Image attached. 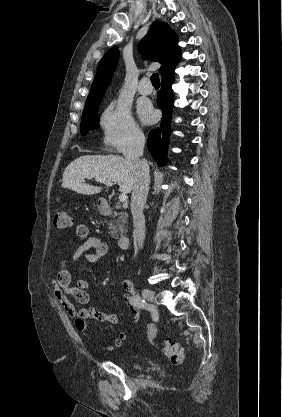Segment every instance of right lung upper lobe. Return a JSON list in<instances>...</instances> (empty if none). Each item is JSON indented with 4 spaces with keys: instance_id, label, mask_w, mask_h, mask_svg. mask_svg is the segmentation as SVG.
I'll use <instances>...</instances> for the list:
<instances>
[{
    "instance_id": "cb5924a9",
    "label": "right lung upper lobe",
    "mask_w": 282,
    "mask_h": 417,
    "mask_svg": "<svg viewBox=\"0 0 282 417\" xmlns=\"http://www.w3.org/2000/svg\"><path fill=\"white\" fill-rule=\"evenodd\" d=\"M178 37L165 22L155 21L147 35L139 43V51L143 58L157 61L161 64L160 74L175 68L181 59V50L178 46ZM119 59L117 46L112 47L101 59L94 78L89 96L104 94Z\"/></svg>"
}]
</instances>
